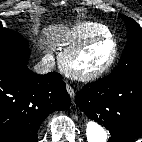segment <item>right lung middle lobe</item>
<instances>
[{
	"label": "right lung middle lobe",
	"mask_w": 142,
	"mask_h": 142,
	"mask_svg": "<svg viewBox=\"0 0 142 142\" xmlns=\"http://www.w3.org/2000/svg\"><path fill=\"white\" fill-rule=\"evenodd\" d=\"M29 56L28 41L18 32L4 28L0 22V60L19 59L27 63Z\"/></svg>",
	"instance_id": "dd1d6c3e"
}]
</instances>
